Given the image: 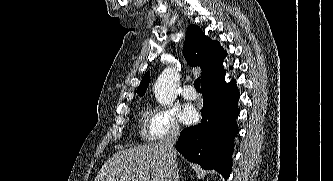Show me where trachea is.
I'll list each match as a JSON object with an SVG mask.
<instances>
[{
	"mask_svg": "<svg viewBox=\"0 0 333 181\" xmlns=\"http://www.w3.org/2000/svg\"><path fill=\"white\" fill-rule=\"evenodd\" d=\"M194 87L195 89L200 92L201 91V88H200V78H197L195 81H194Z\"/></svg>",
	"mask_w": 333,
	"mask_h": 181,
	"instance_id": "1",
	"label": "trachea"
}]
</instances>
